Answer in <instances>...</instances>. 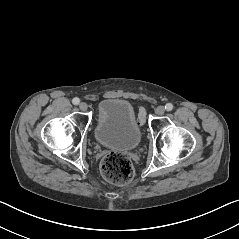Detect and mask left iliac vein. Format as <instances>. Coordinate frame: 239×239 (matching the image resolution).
<instances>
[{"instance_id": "left-iliac-vein-1", "label": "left iliac vein", "mask_w": 239, "mask_h": 239, "mask_svg": "<svg viewBox=\"0 0 239 239\" xmlns=\"http://www.w3.org/2000/svg\"><path fill=\"white\" fill-rule=\"evenodd\" d=\"M155 113L159 116L163 115L165 113V108L163 106H158L155 109Z\"/></svg>"}]
</instances>
